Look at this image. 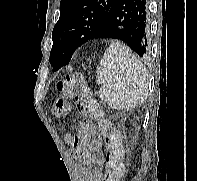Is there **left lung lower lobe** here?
<instances>
[{"mask_svg": "<svg viewBox=\"0 0 197 181\" xmlns=\"http://www.w3.org/2000/svg\"><path fill=\"white\" fill-rule=\"evenodd\" d=\"M147 0H115L97 32V38L123 41L140 57L149 52Z\"/></svg>", "mask_w": 197, "mask_h": 181, "instance_id": "left-lung-lower-lobe-1", "label": "left lung lower lobe"}]
</instances>
